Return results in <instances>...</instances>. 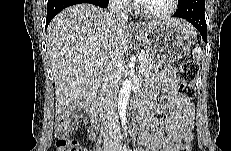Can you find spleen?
Here are the masks:
<instances>
[{
    "label": "spleen",
    "instance_id": "spleen-1",
    "mask_svg": "<svg viewBox=\"0 0 231 151\" xmlns=\"http://www.w3.org/2000/svg\"><path fill=\"white\" fill-rule=\"evenodd\" d=\"M192 56L193 59L196 61H201L203 58V51L201 48L196 47L193 51H192Z\"/></svg>",
    "mask_w": 231,
    "mask_h": 151
}]
</instances>
